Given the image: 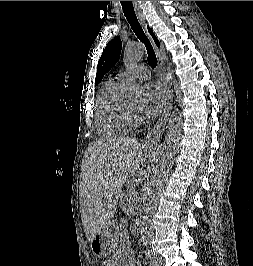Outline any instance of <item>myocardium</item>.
Instances as JSON below:
<instances>
[{
  "label": "myocardium",
  "mask_w": 253,
  "mask_h": 266,
  "mask_svg": "<svg viewBox=\"0 0 253 266\" xmlns=\"http://www.w3.org/2000/svg\"><path fill=\"white\" fill-rule=\"evenodd\" d=\"M125 108L127 113L135 120L136 118V110L132 109L128 103L125 102Z\"/></svg>",
  "instance_id": "myocardium-1"
}]
</instances>
